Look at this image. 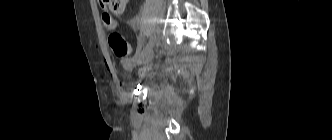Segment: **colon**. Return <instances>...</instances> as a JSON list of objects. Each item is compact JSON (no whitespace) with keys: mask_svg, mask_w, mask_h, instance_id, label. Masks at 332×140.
<instances>
[{"mask_svg":"<svg viewBox=\"0 0 332 140\" xmlns=\"http://www.w3.org/2000/svg\"><path fill=\"white\" fill-rule=\"evenodd\" d=\"M128 0H99L100 5L111 12L120 13L126 8ZM102 26L107 31H114L116 20L105 12L101 16ZM109 44L113 53L118 57H125L130 53V46L119 33H112L109 37Z\"/></svg>","mask_w":332,"mask_h":140,"instance_id":"colon-1","label":"colon"}]
</instances>
